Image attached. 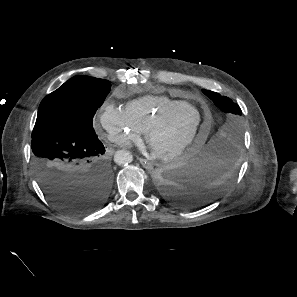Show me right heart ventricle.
<instances>
[{"label":"right heart ventricle","instance_id":"1","mask_svg":"<svg viewBox=\"0 0 297 297\" xmlns=\"http://www.w3.org/2000/svg\"><path fill=\"white\" fill-rule=\"evenodd\" d=\"M186 104L188 102L184 100L171 99L164 95H145L130 101L125 111L137 128L144 132L158 115Z\"/></svg>","mask_w":297,"mask_h":297}]
</instances>
